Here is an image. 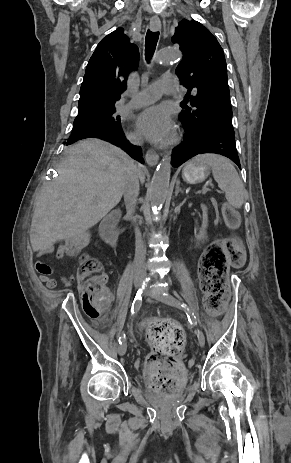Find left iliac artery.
Masks as SVG:
<instances>
[{"label": "left iliac artery", "mask_w": 291, "mask_h": 463, "mask_svg": "<svg viewBox=\"0 0 291 463\" xmlns=\"http://www.w3.org/2000/svg\"><path fill=\"white\" fill-rule=\"evenodd\" d=\"M181 306L185 309L187 316H188V320L190 322H194L196 320V316L194 315V313L191 312V310L188 308V306L185 303H183Z\"/></svg>", "instance_id": "1"}]
</instances>
